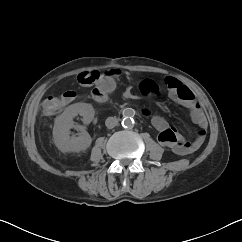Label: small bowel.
Returning a JSON list of instances; mask_svg holds the SVG:
<instances>
[{
  "label": "small bowel",
  "mask_w": 242,
  "mask_h": 242,
  "mask_svg": "<svg viewBox=\"0 0 242 242\" xmlns=\"http://www.w3.org/2000/svg\"><path fill=\"white\" fill-rule=\"evenodd\" d=\"M120 74L121 71L117 68H111L105 73L99 74V78L92 84L94 86L93 96L96 97L95 95L101 90H105L108 94L112 92L116 87V79ZM164 86L167 89L168 96L171 100L189 110L192 121L197 125L195 139L192 141L187 140L175 127H171L162 116L153 114L148 108L143 110V114L151 117L152 125L158 131V141L162 145L173 147L175 152L180 155L190 154L199 149L205 139L207 122L203 110L201 105L196 101L195 95L190 88L176 78L166 77L164 80ZM180 88H184L187 94H182ZM141 93L144 96L150 95H146L142 91ZM66 94L69 97L68 104L73 98V93L66 92Z\"/></svg>",
  "instance_id": "small-bowel-1"
}]
</instances>
